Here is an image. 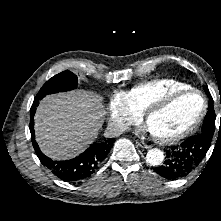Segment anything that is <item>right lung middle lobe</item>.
<instances>
[{
	"label": "right lung middle lobe",
	"instance_id": "obj_1",
	"mask_svg": "<svg viewBox=\"0 0 221 221\" xmlns=\"http://www.w3.org/2000/svg\"><path fill=\"white\" fill-rule=\"evenodd\" d=\"M77 88V76L66 70L50 78L40 89L36 98L42 99L47 94L69 91Z\"/></svg>",
	"mask_w": 221,
	"mask_h": 221
}]
</instances>
